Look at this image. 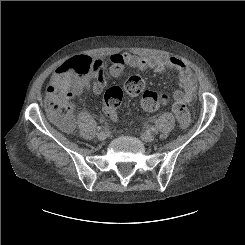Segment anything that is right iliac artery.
Listing matches in <instances>:
<instances>
[{
    "label": "right iliac artery",
    "mask_w": 245,
    "mask_h": 245,
    "mask_svg": "<svg viewBox=\"0 0 245 245\" xmlns=\"http://www.w3.org/2000/svg\"><path fill=\"white\" fill-rule=\"evenodd\" d=\"M101 129H102V128H101L100 126L97 127V130H98V131L101 130Z\"/></svg>",
    "instance_id": "right-iliac-artery-1"
}]
</instances>
